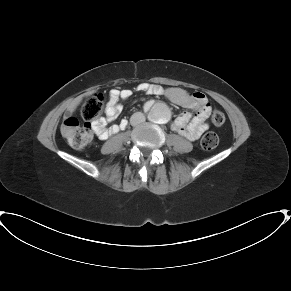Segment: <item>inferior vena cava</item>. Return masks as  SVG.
Listing matches in <instances>:
<instances>
[{
    "mask_svg": "<svg viewBox=\"0 0 291 291\" xmlns=\"http://www.w3.org/2000/svg\"><path fill=\"white\" fill-rule=\"evenodd\" d=\"M145 119H146V118H145V116H144L143 113H141V112H136V113H134V114L131 116V118H130V124H131L132 126H137V125H139V124L145 122Z\"/></svg>",
    "mask_w": 291,
    "mask_h": 291,
    "instance_id": "inferior-vena-cava-1",
    "label": "inferior vena cava"
}]
</instances>
